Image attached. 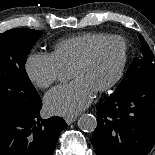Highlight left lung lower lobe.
<instances>
[{
	"label": "left lung lower lobe",
	"mask_w": 155,
	"mask_h": 155,
	"mask_svg": "<svg viewBox=\"0 0 155 155\" xmlns=\"http://www.w3.org/2000/svg\"><path fill=\"white\" fill-rule=\"evenodd\" d=\"M97 111V155H147L155 143V77L115 91Z\"/></svg>",
	"instance_id": "obj_1"
}]
</instances>
